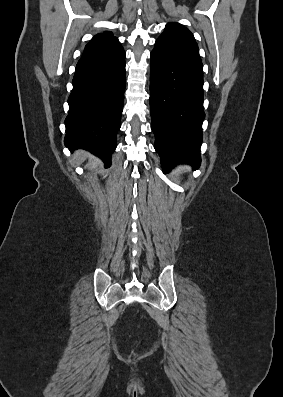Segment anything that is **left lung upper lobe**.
Segmentation results:
<instances>
[{
    "label": "left lung upper lobe",
    "mask_w": 283,
    "mask_h": 397,
    "mask_svg": "<svg viewBox=\"0 0 283 397\" xmlns=\"http://www.w3.org/2000/svg\"><path fill=\"white\" fill-rule=\"evenodd\" d=\"M156 44L172 51L180 58L203 71L198 45L192 33L179 23H168Z\"/></svg>",
    "instance_id": "left-lung-upper-lobe-1"
}]
</instances>
